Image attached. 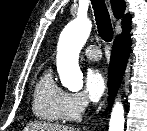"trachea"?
I'll list each match as a JSON object with an SVG mask.
<instances>
[{
  "label": "trachea",
  "mask_w": 147,
  "mask_h": 131,
  "mask_svg": "<svg viewBox=\"0 0 147 131\" xmlns=\"http://www.w3.org/2000/svg\"><path fill=\"white\" fill-rule=\"evenodd\" d=\"M99 36L105 42H111L113 39V27L108 9L104 0H91Z\"/></svg>",
  "instance_id": "obj_1"
}]
</instances>
